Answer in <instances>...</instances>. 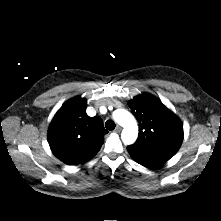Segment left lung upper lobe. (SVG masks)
<instances>
[{"label":"left lung upper lobe","instance_id":"left-lung-upper-lobe-1","mask_svg":"<svg viewBox=\"0 0 221 221\" xmlns=\"http://www.w3.org/2000/svg\"><path fill=\"white\" fill-rule=\"evenodd\" d=\"M139 122V137L127 147L136 162L168 161L183 141V125L163 103L149 93L136 96L129 102Z\"/></svg>","mask_w":221,"mask_h":221}]
</instances>
